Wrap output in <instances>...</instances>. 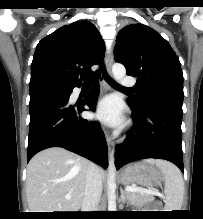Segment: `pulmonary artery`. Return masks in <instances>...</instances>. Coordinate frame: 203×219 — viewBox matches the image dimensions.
<instances>
[{
	"mask_svg": "<svg viewBox=\"0 0 203 219\" xmlns=\"http://www.w3.org/2000/svg\"><path fill=\"white\" fill-rule=\"evenodd\" d=\"M121 83L124 87L131 88L135 86L136 81L134 78L126 76L121 80Z\"/></svg>",
	"mask_w": 203,
	"mask_h": 219,
	"instance_id": "pulmonary-artery-1",
	"label": "pulmonary artery"
}]
</instances>
